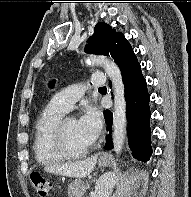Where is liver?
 <instances>
[{"mask_svg":"<svg viewBox=\"0 0 191 197\" xmlns=\"http://www.w3.org/2000/svg\"><path fill=\"white\" fill-rule=\"evenodd\" d=\"M97 158L98 156L94 155L82 161L48 165L44 167V170L56 175L73 178H84L93 171L97 162Z\"/></svg>","mask_w":191,"mask_h":197,"instance_id":"6515ba94","label":"liver"}]
</instances>
